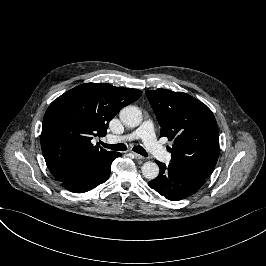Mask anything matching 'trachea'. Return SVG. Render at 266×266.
<instances>
[{
  "instance_id": "obj_1",
  "label": "trachea",
  "mask_w": 266,
  "mask_h": 266,
  "mask_svg": "<svg viewBox=\"0 0 266 266\" xmlns=\"http://www.w3.org/2000/svg\"><path fill=\"white\" fill-rule=\"evenodd\" d=\"M102 146H104L105 148H109L112 150H117V151H125L127 149V146L123 143H119V144H106V143H101ZM133 151H135L136 153L143 155V156H147V152L145 151V149L142 146H134L133 147Z\"/></svg>"
}]
</instances>
